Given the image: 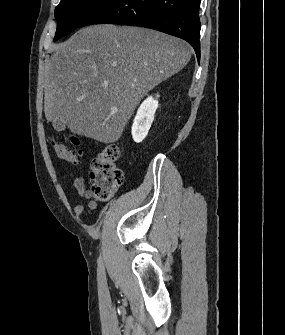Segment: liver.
<instances>
[{
  "label": "liver",
  "instance_id": "obj_1",
  "mask_svg": "<svg viewBox=\"0 0 285 335\" xmlns=\"http://www.w3.org/2000/svg\"><path fill=\"white\" fill-rule=\"evenodd\" d=\"M44 84L48 122L72 134L112 144L155 86L190 62L189 44L132 26H87L53 44Z\"/></svg>",
  "mask_w": 285,
  "mask_h": 335
}]
</instances>
